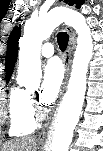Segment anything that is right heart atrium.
Returning <instances> with one entry per match:
<instances>
[{
  "label": "right heart atrium",
  "instance_id": "d8ad5b80",
  "mask_svg": "<svg viewBox=\"0 0 103 151\" xmlns=\"http://www.w3.org/2000/svg\"><path fill=\"white\" fill-rule=\"evenodd\" d=\"M30 102H31L32 107H34L35 101H34V99H33L32 97H30ZM33 109H34V108H33Z\"/></svg>",
  "mask_w": 103,
  "mask_h": 151
}]
</instances>
